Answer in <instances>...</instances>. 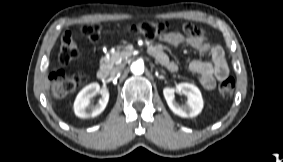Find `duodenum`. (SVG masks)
Listing matches in <instances>:
<instances>
[{
  "label": "duodenum",
  "mask_w": 283,
  "mask_h": 162,
  "mask_svg": "<svg viewBox=\"0 0 283 162\" xmlns=\"http://www.w3.org/2000/svg\"><path fill=\"white\" fill-rule=\"evenodd\" d=\"M150 52H151L152 55L156 54V51L153 47L150 48ZM97 77L100 80L106 79L108 77V70L106 68L99 69L98 72H97Z\"/></svg>",
  "instance_id": "410a0bca"
}]
</instances>
